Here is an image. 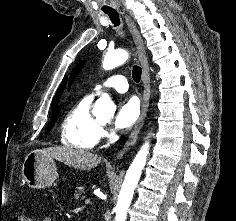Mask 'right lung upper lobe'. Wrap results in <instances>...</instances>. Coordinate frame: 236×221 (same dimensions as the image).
<instances>
[{
    "label": "right lung upper lobe",
    "instance_id": "cb5924a9",
    "mask_svg": "<svg viewBox=\"0 0 236 221\" xmlns=\"http://www.w3.org/2000/svg\"><path fill=\"white\" fill-rule=\"evenodd\" d=\"M66 79H67V77L64 78V80L62 81L60 87L58 88V90L55 94V97H54V100H53V106L57 105V103H58L59 97L61 96L62 91L64 90Z\"/></svg>",
    "mask_w": 236,
    "mask_h": 221
}]
</instances>
